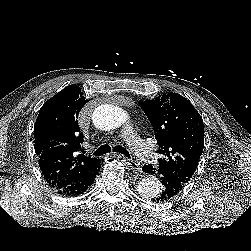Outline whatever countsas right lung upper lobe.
I'll list each match as a JSON object with an SVG mask.
<instances>
[{"mask_svg":"<svg viewBox=\"0 0 251 251\" xmlns=\"http://www.w3.org/2000/svg\"><path fill=\"white\" fill-rule=\"evenodd\" d=\"M88 101L74 84L50 98L40 109L34 126L35 152L49 184L81 178L101 162L99 158L80 154L84 136L77 118Z\"/></svg>","mask_w":251,"mask_h":251,"instance_id":"obj_1","label":"right lung upper lobe"}]
</instances>
